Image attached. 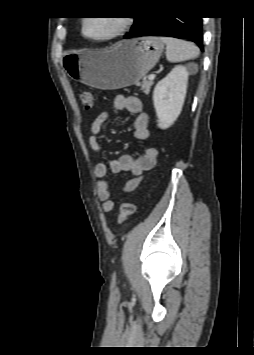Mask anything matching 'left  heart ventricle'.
Wrapping results in <instances>:
<instances>
[{"label": "left heart ventricle", "mask_w": 254, "mask_h": 355, "mask_svg": "<svg viewBox=\"0 0 254 355\" xmlns=\"http://www.w3.org/2000/svg\"><path fill=\"white\" fill-rule=\"evenodd\" d=\"M119 27L116 17H92L88 19L85 27L87 35L94 38L106 37Z\"/></svg>", "instance_id": "b2bd125f"}]
</instances>
